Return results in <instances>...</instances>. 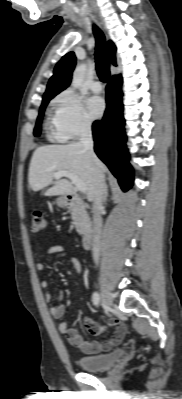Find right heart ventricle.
<instances>
[{"label":"right heart ventricle","mask_w":182,"mask_h":399,"mask_svg":"<svg viewBox=\"0 0 182 399\" xmlns=\"http://www.w3.org/2000/svg\"><path fill=\"white\" fill-rule=\"evenodd\" d=\"M47 125L52 130L50 136L60 139L59 135H58V133L56 131V128H55V117H54V115L49 114L48 119H47Z\"/></svg>","instance_id":"e07e8e85"}]
</instances>
